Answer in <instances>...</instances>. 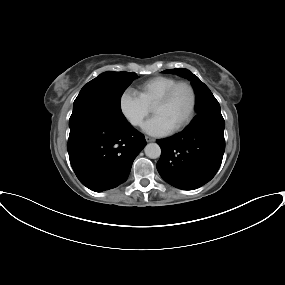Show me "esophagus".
Returning <instances> with one entry per match:
<instances>
[{"mask_svg":"<svg viewBox=\"0 0 285 285\" xmlns=\"http://www.w3.org/2000/svg\"><path fill=\"white\" fill-rule=\"evenodd\" d=\"M145 139H146L147 142H154L155 141L154 138H151L149 136H145Z\"/></svg>","mask_w":285,"mask_h":285,"instance_id":"34e87169","label":"esophagus"}]
</instances>
